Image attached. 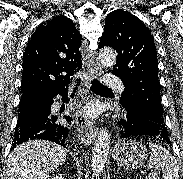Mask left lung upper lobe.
Instances as JSON below:
<instances>
[{"label":"left lung upper lobe","instance_id":"left-lung-upper-lobe-1","mask_svg":"<svg viewBox=\"0 0 183 179\" xmlns=\"http://www.w3.org/2000/svg\"><path fill=\"white\" fill-rule=\"evenodd\" d=\"M99 46L117 52L112 73L122 80L125 90L120 104H133L164 123L158 80L157 51L149 29L133 14L118 9L106 17Z\"/></svg>","mask_w":183,"mask_h":179}]
</instances>
